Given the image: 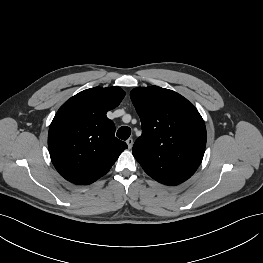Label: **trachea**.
Here are the masks:
<instances>
[{
	"label": "trachea",
	"instance_id": "obj_1",
	"mask_svg": "<svg viewBox=\"0 0 263 263\" xmlns=\"http://www.w3.org/2000/svg\"><path fill=\"white\" fill-rule=\"evenodd\" d=\"M131 129L127 126H122L117 131V137L122 140H127L130 137Z\"/></svg>",
	"mask_w": 263,
	"mask_h": 263
}]
</instances>
